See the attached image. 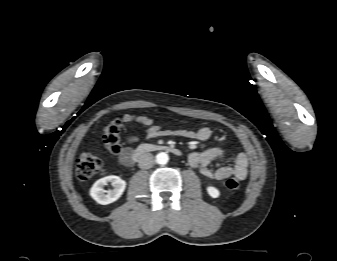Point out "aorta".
<instances>
[{
    "mask_svg": "<svg viewBox=\"0 0 337 261\" xmlns=\"http://www.w3.org/2000/svg\"><path fill=\"white\" fill-rule=\"evenodd\" d=\"M169 161L168 154L165 152H160L156 155V162L160 165H164Z\"/></svg>",
    "mask_w": 337,
    "mask_h": 261,
    "instance_id": "aorta-1",
    "label": "aorta"
}]
</instances>
